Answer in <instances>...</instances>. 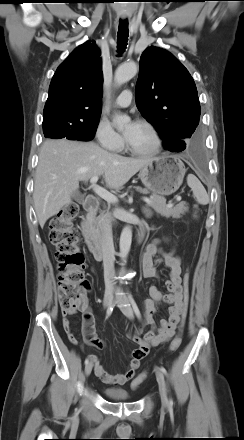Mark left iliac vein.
<instances>
[{
  "label": "left iliac vein",
  "instance_id": "4c4485c4",
  "mask_svg": "<svg viewBox=\"0 0 244 440\" xmlns=\"http://www.w3.org/2000/svg\"><path fill=\"white\" fill-rule=\"evenodd\" d=\"M117 302H118L119 307H120L121 311L123 312V314L126 317H128L129 319H133L134 312H133L132 307L128 303L127 297L124 294H121L118 297ZM155 373H156L157 382L159 384V391H160L162 406L164 408H166L169 404L168 398H167L166 382H165V379H164L162 372L159 369L156 368Z\"/></svg>",
  "mask_w": 244,
  "mask_h": 440
}]
</instances>
